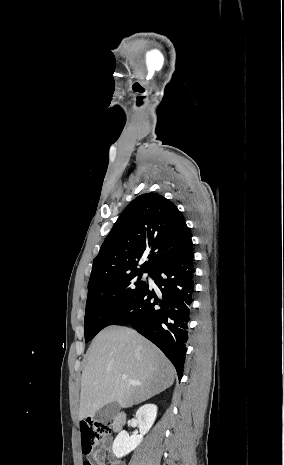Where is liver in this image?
Instances as JSON below:
<instances>
[{"instance_id":"obj_1","label":"liver","mask_w":284,"mask_h":465,"mask_svg":"<svg viewBox=\"0 0 284 465\" xmlns=\"http://www.w3.org/2000/svg\"><path fill=\"white\" fill-rule=\"evenodd\" d=\"M121 375L136 381H123ZM175 369L155 345L133 329L107 327L93 339L82 373L78 421L109 403L139 405L174 383Z\"/></svg>"}]
</instances>
